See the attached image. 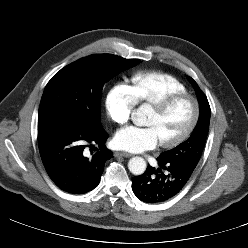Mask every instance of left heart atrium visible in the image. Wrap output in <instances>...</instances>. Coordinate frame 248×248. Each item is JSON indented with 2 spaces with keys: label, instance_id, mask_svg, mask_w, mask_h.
Segmentation results:
<instances>
[{
  "label": "left heart atrium",
  "instance_id": "obj_1",
  "mask_svg": "<svg viewBox=\"0 0 248 248\" xmlns=\"http://www.w3.org/2000/svg\"><path fill=\"white\" fill-rule=\"evenodd\" d=\"M159 143V137L151 126H128L120 129L114 136L115 146L129 152L150 150Z\"/></svg>",
  "mask_w": 248,
  "mask_h": 248
}]
</instances>
